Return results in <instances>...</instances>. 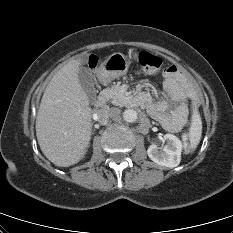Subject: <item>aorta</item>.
I'll return each instance as SVG.
<instances>
[{"instance_id":"762f6f07","label":"aorta","mask_w":233,"mask_h":233,"mask_svg":"<svg viewBox=\"0 0 233 233\" xmlns=\"http://www.w3.org/2000/svg\"><path fill=\"white\" fill-rule=\"evenodd\" d=\"M123 119L126 122H135L137 120V112L133 109H127L123 112Z\"/></svg>"}]
</instances>
